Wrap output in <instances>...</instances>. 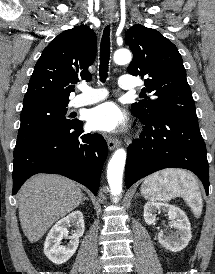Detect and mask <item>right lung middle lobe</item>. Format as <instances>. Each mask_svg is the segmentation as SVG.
Listing matches in <instances>:
<instances>
[{
    "label": "right lung middle lobe",
    "instance_id": "right-lung-middle-lobe-1",
    "mask_svg": "<svg viewBox=\"0 0 215 274\" xmlns=\"http://www.w3.org/2000/svg\"><path fill=\"white\" fill-rule=\"evenodd\" d=\"M67 104L41 103L23 108L14 155L37 139L71 126L75 121L66 118Z\"/></svg>",
    "mask_w": 215,
    "mask_h": 274
}]
</instances>
